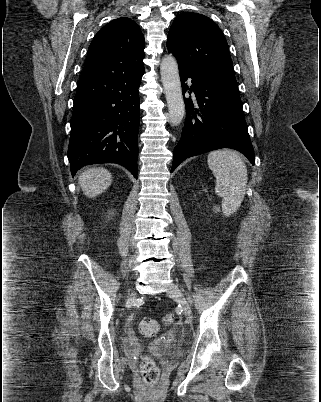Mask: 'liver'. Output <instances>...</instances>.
<instances>
[{
	"label": "liver",
	"instance_id": "liver-1",
	"mask_svg": "<svg viewBox=\"0 0 321 402\" xmlns=\"http://www.w3.org/2000/svg\"><path fill=\"white\" fill-rule=\"evenodd\" d=\"M83 193L93 198L102 194L112 183L110 172L104 168H91L84 171L78 178Z\"/></svg>",
	"mask_w": 321,
	"mask_h": 402
}]
</instances>
